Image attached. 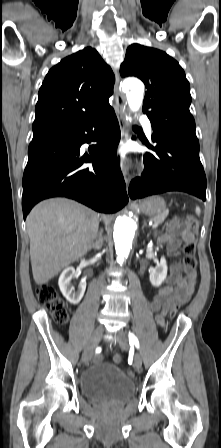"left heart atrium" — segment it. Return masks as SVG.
<instances>
[{
	"instance_id": "39dd6f15",
	"label": "left heart atrium",
	"mask_w": 221,
	"mask_h": 448,
	"mask_svg": "<svg viewBox=\"0 0 221 448\" xmlns=\"http://www.w3.org/2000/svg\"><path fill=\"white\" fill-rule=\"evenodd\" d=\"M121 155L124 156V155H125V152H124V151H121Z\"/></svg>"
}]
</instances>
